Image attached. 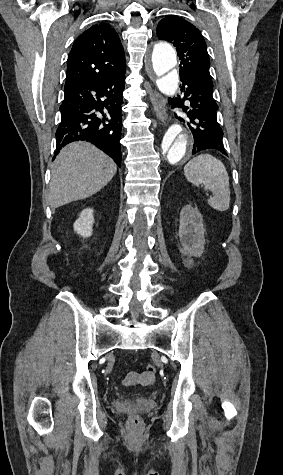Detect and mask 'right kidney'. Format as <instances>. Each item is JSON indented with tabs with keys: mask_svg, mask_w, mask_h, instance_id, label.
<instances>
[{
	"mask_svg": "<svg viewBox=\"0 0 283 475\" xmlns=\"http://www.w3.org/2000/svg\"><path fill=\"white\" fill-rule=\"evenodd\" d=\"M93 224V210H90V208H86V210H82L81 214H79L78 220L74 222V232H76V234H79V236H82V238H90L93 232Z\"/></svg>",
	"mask_w": 283,
	"mask_h": 475,
	"instance_id": "1",
	"label": "right kidney"
}]
</instances>
